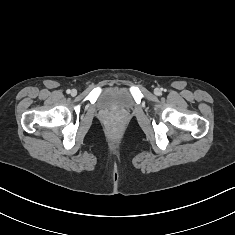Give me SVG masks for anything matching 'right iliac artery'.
<instances>
[{"label":"right iliac artery","instance_id":"82829eb1","mask_svg":"<svg viewBox=\"0 0 235 235\" xmlns=\"http://www.w3.org/2000/svg\"><path fill=\"white\" fill-rule=\"evenodd\" d=\"M66 92L69 94L71 91H70V89H68Z\"/></svg>","mask_w":235,"mask_h":235}]
</instances>
